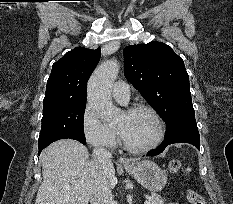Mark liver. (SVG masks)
Returning a JSON list of instances; mask_svg holds the SVG:
<instances>
[{
  "instance_id": "obj_1",
  "label": "liver",
  "mask_w": 233,
  "mask_h": 204,
  "mask_svg": "<svg viewBox=\"0 0 233 204\" xmlns=\"http://www.w3.org/2000/svg\"><path fill=\"white\" fill-rule=\"evenodd\" d=\"M88 159L87 148L76 140L62 139L45 148L35 204H88L104 177L113 189L117 184L113 163L103 166Z\"/></svg>"
}]
</instances>
